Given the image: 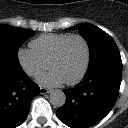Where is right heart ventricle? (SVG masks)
<instances>
[{
	"mask_svg": "<svg viewBox=\"0 0 128 128\" xmlns=\"http://www.w3.org/2000/svg\"><path fill=\"white\" fill-rule=\"evenodd\" d=\"M68 33H50L37 37L31 42V48L46 63L52 58L60 44L69 37Z\"/></svg>",
	"mask_w": 128,
	"mask_h": 128,
	"instance_id": "1",
	"label": "right heart ventricle"
}]
</instances>
